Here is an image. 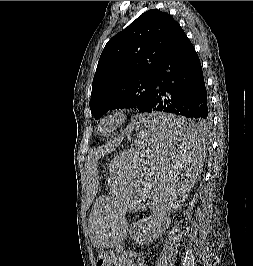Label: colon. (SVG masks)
<instances>
[{
    "label": "colon",
    "instance_id": "colon-1",
    "mask_svg": "<svg viewBox=\"0 0 253 266\" xmlns=\"http://www.w3.org/2000/svg\"><path fill=\"white\" fill-rule=\"evenodd\" d=\"M116 255L109 251H103L97 256V266H118Z\"/></svg>",
    "mask_w": 253,
    "mask_h": 266
}]
</instances>
